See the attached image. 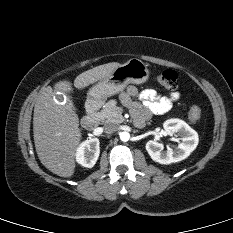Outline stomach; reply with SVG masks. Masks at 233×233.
Segmentation results:
<instances>
[{"label": "stomach", "instance_id": "stomach-1", "mask_svg": "<svg viewBox=\"0 0 233 233\" xmlns=\"http://www.w3.org/2000/svg\"><path fill=\"white\" fill-rule=\"evenodd\" d=\"M150 76L147 65L137 58H132L113 70L106 78L92 86L88 92L89 101L106 100L121 91L129 83H145Z\"/></svg>", "mask_w": 233, "mask_h": 233}]
</instances>
